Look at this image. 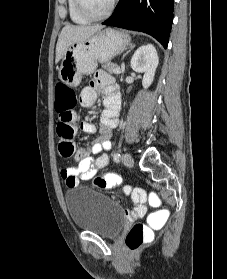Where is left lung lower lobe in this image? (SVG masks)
I'll return each instance as SVG.
<instances>
[{
	"instance_id": "1",
	"label": "left lung lower lobe",
	"mask_w": 227,
	"mask_h": 279,
	"mask_svg": "<svg viewBox=\"0 0 227 279\" xmlns=\"http://www.w3.org/2000/svg\"><path fill=\"white\" fill-rule=\"evenodd\" d=\"M173 10L174 0H120L102 24L150 34L166 48Z\"/></svg>"
}]
</instances>
